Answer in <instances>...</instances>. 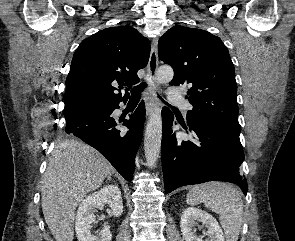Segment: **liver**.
I'll return each mask as SVG.
<instances>
[{
	"instance_id": "6515ba94",
	"label": "liver",
	"mask_w": 295,
	"mask_h": 241,
	"mask_svg": "<svg viewBox=\"0 0 295 241\" xmlns=\"http://www.w3.org/2000/svg\"><path fill=\"white\" fill-rule=\"evenodd\" d=\"M112 173L113 166L89 145L78 140L56 144L41 188L43 215L56 241H73L77 206Z\"/></svg>"
}]
</instances>
